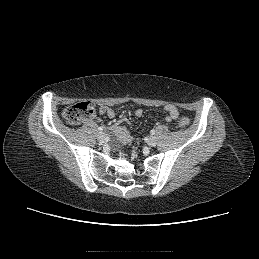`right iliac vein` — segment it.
Instances as JSON below:
<instances>
[{
	"mask_svg": "<svg viewBox=\"0 0 259 259\" xmlns=\"http://www.w3.org/2000/svg\"><path fill=\"white\" fill-rule=\"evenodd\" d=\"M97 139L100 143H103L106 139V136L103 132H100L98 135H97Z\"/></svg>",
	"mask_w": 259,
	"mask_h": 259,
	"instance_id": "obj_1",
	"label": "right iliac vein"
}]
</instances>
